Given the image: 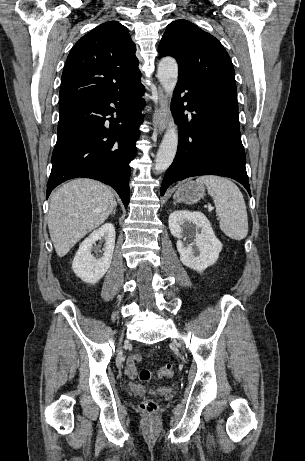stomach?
Returning <instances> with one entry per match:
<instances>
[{
    "instance_id": "0dacf381",
    "label": "stomach",
    "mask_w": 305,
    "mask_h": 461,
    "mask_svg": "<svg viewBox=\"0 0 305 461\" xmlns=\"http://www.w3.org/2000/svg\"><path fill=\"white\" fill-rule=\"evenodd\" d=\"M205 195V188L201 184L189 181L181 185L174 194L176 202H185L186 204H194Z\"/></svg>"
}]
</instances>
